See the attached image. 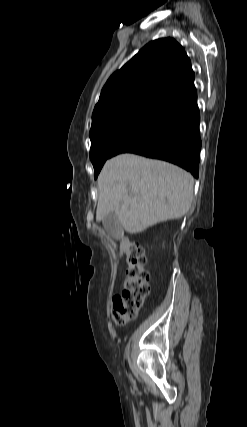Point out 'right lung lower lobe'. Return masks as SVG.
Returning <instances> with one entry per match:
<instances>
[{
  "mask_svg": "<svg viewBox=\"0 0 247 427\" xmlns=\"http://www.w3.org/2000/svg\"><path fill=\"white\" fill-rule=\"evenodd\" d=\"M201 139L195 86L160 104L113 151L135 153L174 163L198 178Z\"/></svg>",
  "mask_w": 247,
  "mask_h": 427,
  "instance_id": "right-lung-lower-lobe-1",
  "label": "right lung lower lobe"
}]
</instances>
